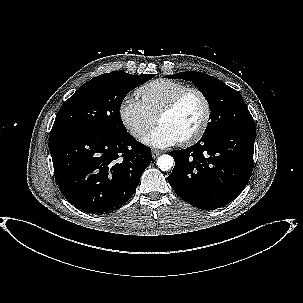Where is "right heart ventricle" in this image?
<instances>
[{
    "label": "right heart ventricle",
    "mask_w": 303,
    "mask_h": 303,
    "mask_svg": "<svg viewBox=\"0 0 303 303\" xmlns=\"http://www.w3.org/2000/svg\"><path fill=\"white\" fill-rule=\"evenodd\" d=\"M188 88L185 83L171 79H156L137 90L148 112L156 117L160 110L179 92Z\"/></svg>",
    "instance_id": "right-heart-ventricle-1"
}]
</instances>
